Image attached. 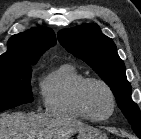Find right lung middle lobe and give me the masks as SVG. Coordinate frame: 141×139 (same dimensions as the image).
I'll return each instance as SVG.
<instances>
[{
    "instance_id": "right-lung-middle-lobe-1",
    "label": "right lung middle lobe",
    "mask_w": 141,
    "mask_h": 139,
    "mask_svg": "<svg viewBox=\"0 0 141 139\" xmlns=\"http://www.w3.org/2000/svg\"><path fill=\"white\" fill-rule=\"evenodd\" d=\"M31 65L0 67V112L32 102Z\"/></svg>"
}]
</instances>
